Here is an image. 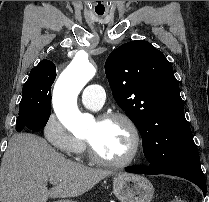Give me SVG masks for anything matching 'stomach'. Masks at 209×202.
<instances>
[{
    "label": "stomach",
    "mask_w": 209,
    "mask_h": 202,
    "mask_svg": "<svg viewBox=\"0 0 209 202\" xmlns=\"http://www.w3.org/2000/svg\"><path fill=\"white\" fill-rule=\"evenodd\" d=\"M113 193L120 202H151L154 187L141 175L122 173L113 179Z\"/></svg>",
    "instance_id": "stomach-1"
}]
</instances>
